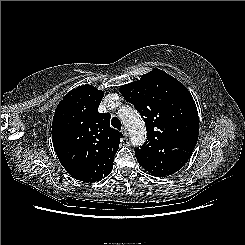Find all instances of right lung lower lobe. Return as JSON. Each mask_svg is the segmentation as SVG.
Returning <instances> with one entry per match:
<instances>
[{
  "label": "right lung lower lobe",
  "instance_id": "right-lung-lower-lobe-1",
  "mask_svg": "<svg viewBox=\"0 0 245 245\" xmlns=\"http://www.w3.org/2000/svg\"><path fill=\"white\" fill-rule=\"evenodd\" d=\"M72 177H74L75 179H78V180H80V178H79V175L77 174V173H72V174H70Z\"/></svg>",
  "mask_w": 245,
  "mask_h": 245
}]
</instances>
